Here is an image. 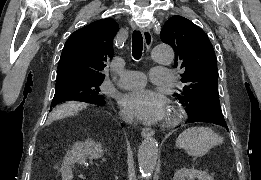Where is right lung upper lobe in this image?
Wrapping results in <instances>:
<instances>
[{
  "label": "right lung upper lobe",
  "instance_id": "right-lung-upper-lobe-1",
  "mask_svg": "<svg viewBox=\"0 0 261 180\" xmlns=\"http://www.w3.org/2000/svg\"><path fill=\"white\" fill-rule=\"evenodd\" d=\"M118 29L115 20L106 18L75 31L64 45L56 83L103 81L101 72L107 59L113 56V37Z\"/></svg>",
  "mask_w": 261,
  "mask_h": 180
}]
</instances>
